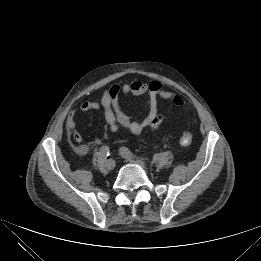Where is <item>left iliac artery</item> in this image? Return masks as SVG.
<instances>
[{
    "label": "left iliac artery",
    "instance_id": "1",
    "mask_svg": "<svg viewBox=\"0 0 261 261\" xmlns=\"http://www.w3.org/2000/svg\"><path fill=\"white\" fill-rule=\"evenodd\" d=\"M120 151H121L122 153H124L125 155H127L128 157H131V158L138 157V158H141V159H143V160H148V159L145 158V157L135 155L133 152H131V151H130L128 148H126V147H122V148L120 149Z\"/></svg>",
    "mask_w": 261,
    "mask_h": 261
}]
</instances>
